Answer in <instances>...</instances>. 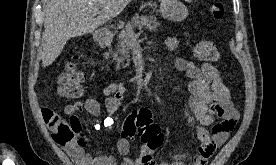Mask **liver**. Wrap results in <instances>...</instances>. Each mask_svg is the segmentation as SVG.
Listing matches in <instances>:
<instances>
[{
  "label": "liver",
  "mask_w": 276,
  "mask_h": 165,
  "mask_svg": "<svg viewBox=\"0 0 276 165\" xmlns=\"http://www.w3.org/2000/svg\"><path fill=\"white\" fill-rule=\"evenodd\" d=\"M132 0H50L45 6L42 66L51 65L70 38L92 33ZM98 13V14H96ZM98 15L96 18L95 16Z\"/></svg>",
  "instance_id": "liver-1"
}]
</instances>
